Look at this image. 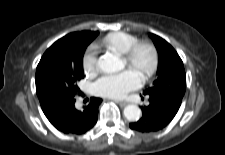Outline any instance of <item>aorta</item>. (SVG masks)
Instances as JSON below:
<instances>
[{
  "label": "aorta",
  "instance_id": "1",
  "mask_svg": "<svg viewBox=\"0 0 225 155\" xmlns=\"http://www.w3.org/2000/svg\"><path fill=\"white\" fill-rule=\"evenodd\" d=\"M98 68L104 73H112L123 68V62L114 54L107 53L98 60ZM124 116L131 122L138 121L141 117V109L134 104L127 105L124 108Z\"/></svg>",
  "mask_w": 225,
  "mask_h": 155
}]
</instances>
